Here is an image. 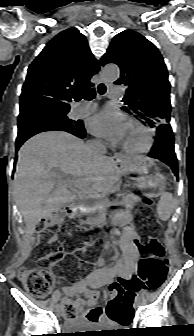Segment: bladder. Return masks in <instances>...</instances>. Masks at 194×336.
Masks as SVG:
<instances>
[{
    "mask_svg": "<svg viewBox=\"0 0 194 336\" xmlns=\"http://www.w3.org/2000/svg\"><path fill=\"white\" fill-rule=\"evenodd\" d=\"M65 326H69V329L72 331L86 329L85 324L78 320H71L70 322L65 324Z\"/></svg>",
    "mask_w": 194,
    "mask_h": 336,
    "instance_id": "bladder-1",
    "label": "bladder"
}]
</instances>
